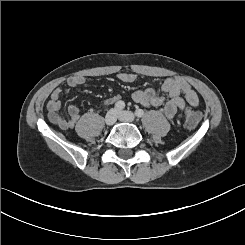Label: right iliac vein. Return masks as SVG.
<instances>
[{"mask_svg":"<svg viewBox=\"0 0 245 245\" xmlns=\"http://www.w3.org/2000/svg\"><path fill=\"white\" fill-rule=\"evenodd\" d=\"M116 119H117V110L112 108L107 112L104 121L106 125L112 126L116 122Z\"/></svg>","mask_w":245,"mask_h":245,"instance_id":"obj_1","label":"right iliac vein"}]
</instances>
